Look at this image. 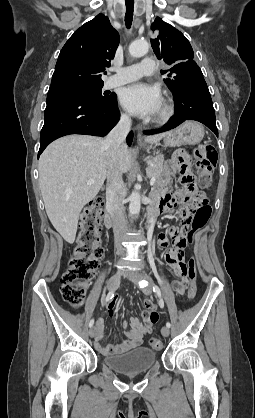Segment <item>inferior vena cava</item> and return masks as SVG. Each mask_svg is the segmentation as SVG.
<instances>
[{"mask_svg":"<svg viewBox=\"0 0 255 418\" xmlns=\"http://www.w3.org/2000/svg\"><path fill=\"white\" fill-rule=\"evenodd\" d=\"M131 128V118L129 115L123 114L117 125L110 131L103 142V146L109 153V171L107 178L106 198L107 209L109 210L112 223L116 247L118 254L122 255L124 249L121 247L119 240L126 232V218L124 208V198L126 189L122 180V173L116 167V155L126 139Z\"/></svg>","mask_w":255,"mask_h":418,"instance_id":"602c4592","label":"inferior vena cava"}]
</instances>
